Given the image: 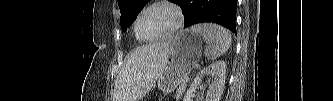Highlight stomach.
Returning <instances> with one entry per match:
<instances>
[{
	"mask_svg": "<svg viewBox=\"0 0 333 101\" xmlns=\"http://www.w3.org/2000/svg\"><path fill=\"white\" fill-rule=\"evenodd\" d=\"M168 45L166 65L157 79V86L164 93H171L181 84L200 60L203 50L201 35L190 29L170 38Z\"/></svg>",
	"mask_w": 333,
	"mask_h": 101,
	"instance_id": "1",
	"label": "stomach"
}]
</instances>
